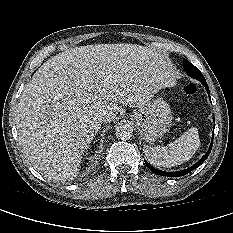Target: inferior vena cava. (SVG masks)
<instances>
[{
    "label": "inferior vena cava",
    "instance_id": "inferior-vena-cava-1",
    "mask_svg": "<svg viewBox=\"0 0 233 233\" xmlns=\"http://www.w3.org/2000/svg\"><path fill=\"white\" fill-rule=\"evenodd\" d=\"M103 122H104V117L101 116V115L95 116V117L93 118V121H92V123H93V124H96V125H100V124L103 123Z\"/></svg>",
    "mask_w": 233,
    "mask_h": 233
}]
</instances>
